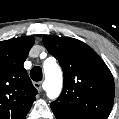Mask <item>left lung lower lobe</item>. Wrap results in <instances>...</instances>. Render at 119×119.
Wrapping results in <instances>:
<instances>
[{
  "label": "left lung lower lobe",
  "mask_w": 119,
  "mask_h": 119,
  "mask_svg": "<svg viewBox=\"0 0 119 119\" xmlns=\"http://www.w3.org/2000/svg\"><path fill=\"white\" fill-rule=\"evenodd\" d=\"M56 119H99L94 117L81 116L70 112H56L54 111Z\"/></svg>",
  "instance_id": "0a47b994"
}]
</instances>
